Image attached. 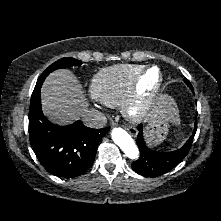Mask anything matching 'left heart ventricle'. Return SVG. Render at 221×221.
Wrapping results in <instances>:
<instances>
[{
  "label": "left heart ventricle",
  "mask_w": 221,
  "mask_h": 221,
  "mask_svg": "<svg viewBox=\"0 0 221 221\" xmlns=\"http://www.w3.org/2000/svg\"><path fill=\"white\" fill-rule=\"evenodd\" d=\"M158 79V74L156 70L150 71L144 79L141 81L140 89L144 93L150 92L156 85Z\"/></svg>",
  "instance_id": "1"
}]
</instances>
